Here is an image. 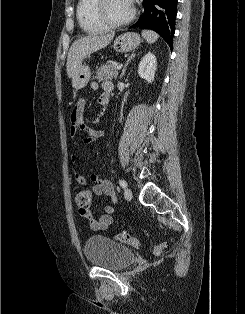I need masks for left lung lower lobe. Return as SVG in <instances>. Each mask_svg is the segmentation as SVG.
<instances>
[{
  "mask_svg": "<svg viewBox=\"0 0 245 314\" xmlns=\"http://www.w3.org/2000/svg\"><path fill=\"white\" fill-rule=\"evenodd\" d=\"M144 13L130 28H146L157 32L172 49L177 0H143Z\"/></svg>",
  "mask_w": 245,
  "mask_h": 314,
  "instance_id": "obj_1",
  "label": "left lung lower lobe"
}]
</instances>
